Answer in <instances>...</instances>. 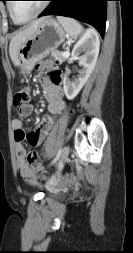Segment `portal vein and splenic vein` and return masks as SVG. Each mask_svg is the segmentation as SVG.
<instances>
[{
	"label": "portal vein and splenic vein",
	"mask_w": 133,
	"mask_h": 253,
	"mask_svg": "<svg viewBox=\"0 0 133 253\" xmlns=\"http://www.w3.org/2000/svg\"><path fill=\"white\" fill-rule=\"evenodd\" d=\"M63 56H64V57H68V56H69V52H68V51H64V52H63Z\"/></svg>",
	"instance_id": "18ae733b"
}]
</instances>
